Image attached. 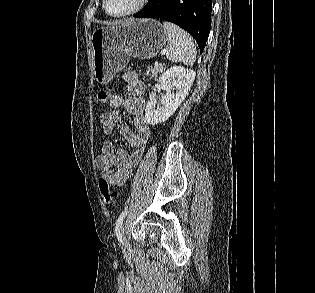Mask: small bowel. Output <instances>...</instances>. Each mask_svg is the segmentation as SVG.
Instances as JSON below:
<instances>
[{
  "label": "small bowel",
  "mask_w": 315,
  "mask_h": 293,
  "mask_svg": "<svg viewBox=\"0 0 315 293\" xmlns=\"http://www.w3.org/2000/svg\"><path fill=\"white\" fill-rule=\"evenodd\" d=\"M123 81L128 87L130 97L125 98L119 93L111 94L108 100L111 109L101 115L100 123L106 135L112 134L115 125L122 120L120 108L124 107L133 116V128L122 126L120 132L133 147V151L128 153L122 148L117 149L112 142L106 141L95 160L101 171V178L113 186H120L125 182L140 160L151 136L150 126L143 114L145 84L134 71L125 72Z\"/></svg>",
  "instance_id": "obj_1"
}]
</instances>
